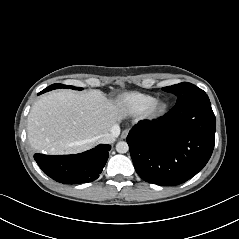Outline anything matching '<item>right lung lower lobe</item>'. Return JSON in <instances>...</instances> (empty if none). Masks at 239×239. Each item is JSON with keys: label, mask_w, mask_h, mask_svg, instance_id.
<instances>
[{"label": "right lung lower lobe", "mask_w": 239, "mask_h": 239, "mask_svg": "<svg viewBox=\"0 0 239 239\" xmlns=\"http://www.w3.org/2000/svg\"><path fill=\"white\" fill-rule=\"evenodd\" d=\"M109 150V145L101 144L76 155L35 154L34 159L42 171L57 182L88 183L99 177L109 157Z\"/></svg>", "instance_id": "98d812e1"}]
</instances>
